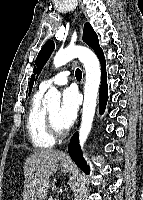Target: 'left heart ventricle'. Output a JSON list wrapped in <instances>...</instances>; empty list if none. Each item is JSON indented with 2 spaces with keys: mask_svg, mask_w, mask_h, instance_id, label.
I'll return each instance as SVG.
<instances>
[{
  "mask_svg": "<svg viewBox=\"0 0 143 200\" xmlns=\"http://www.w3.org/2000/svg\"><path fill=\"white\" fill-rule=\"evenodd\" d=\"M48 111L51 115V118L53 120V123H54L56 129L59 131L65 130L63 128V126L60 124L59 119H58L59 107L50 108Z\"/></svg>",
  "mask_w": 143,
  "mask_h": 200,
  "instance_id": "obj_1",
  "label": "left heart ventricle"
}]
</instances>
